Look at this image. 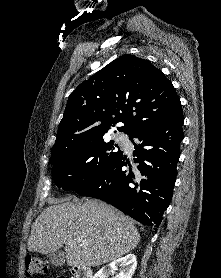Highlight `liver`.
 Listing matches in <instances>:
<instances>
[{
  "mask_svg": "<svg viewBox=\"0 0 221 278\" xmlns=\"http://www.w3.org/2000/svg\"><path fill=\"white\" fill-rule=\"evenodd\" d=\"M49 202L32 225L27 242L30 252L49 254L65 244L68 266L95 267L117 260L140 241L134 223L102 201L71 202L68 198Z\"/></svg>",
  "mask_w": 221,
  "mask_h": 278,
  "instance_id": "1",
  "label": "liver"
}]
</instances>
